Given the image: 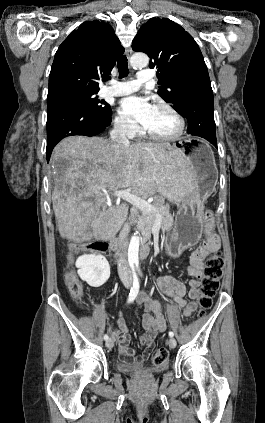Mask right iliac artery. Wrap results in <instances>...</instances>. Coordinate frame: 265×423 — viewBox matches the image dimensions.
Returning <instances> with one entry per match:
<instances>
[{
  "mask_svg": "<svg viewBox=\"0 0 265 423\" xmlns=\"http://www.w3.org/2000/svg\"><path fill=\"white\" fill-rule=\"evenodd\" d=\"M132 270H133V286L131 287V290H130V293H129L128 303L132 302L136 298V296L139 292V287H140L139 286V279H138L133 267H132ZM104 339L108 340L109 336L107 334H105Z\"/></svg>",
  "mask_w": 265,
  "mask_h": 423,
  "instance_id": "obj_1",
  "label": "right iliac artery"
}]
</instances>
